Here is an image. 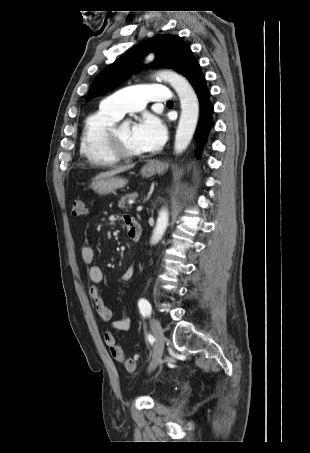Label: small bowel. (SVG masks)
I'll return each instance as SVG.
<instances>
[{
    "instance_id": "obj_1",
    "label": "small bowel",
    "mask_w": 310,
    "mask_h": 453,
    "mask_svg": "<svg viewBox=\"0 0 310 453\" xmlns=\"http://www.w3.org/2000/svg\"><path fill=\"white\" fill-rule=\"evenodd\" d=\"M122 220L127 228L131 222H135L136 219L128 214L122 216ZM81 260L84 264H91L94 259V249L89 245H84L80 250ZM135 274L134 267H128L118 278V281L123 283L133 278ZM88 280L91 282L89 288V296L92 300L95 310L99 315L100 319L104 322L112 320L114 313L104 302L98 285L103 281L102 269L98 266H90L87 272ZM111 326L117 331H128L131 326V319L128 315L123 314L119 319L112 321ZM104 340L107 347L110 350L112 357L118 362L125 361V353L122 347L117 343L114 334L110 331H106L104 334Z\"/></svg>"
}]
</instances>
